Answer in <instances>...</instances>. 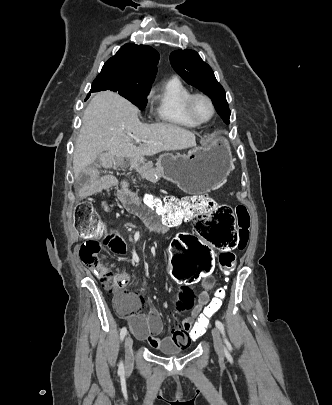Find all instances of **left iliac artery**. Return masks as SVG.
Listing matches in <instances>:
<instances>
[{
  "label": "left iliac artery",
  "mask_w": 332,
  "mask_h": 405,
  "mask_svg": "<svg viewBox=\"0 0 332 405\" xmlns=\"http://www.w3.org/2000/svg\"><path fill=\"white\" fill-rule=\"evenodd\" d=\"M215 325H216V327L220 330V332L222 333V335H223V337H224V343L229 347L230 344H229V342H228V340H227V338H226V336H225L224 325H223L219 320H216V321H215Z\"/></svg>",
  "instance_id": "left-iliac-artery-1"
}]
</instances>
